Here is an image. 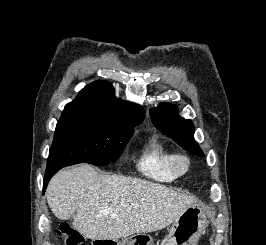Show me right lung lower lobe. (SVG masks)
I'll list each match as a JSON object with an SVG mask.
<instances>
[{
    "instance_id": "98d812e1",
    "label": "right lung lower lobe",
    "mask_w": 266,
    "mask_h": 245,
    "mask_svg": "<svg viewBox=\"0 0 266 245\" xmlns=\"http://www.w3.org/2000/svg\"><path fill=\"white\" fill-rule=\"evenodd\" d=\"M59 170V168H54V169H51V170H46L45 172V177H44V180H43V194L45 192V189L47 187V184L49 182V180L52 178V176Z\"/></svg>"
}]
</instances>
